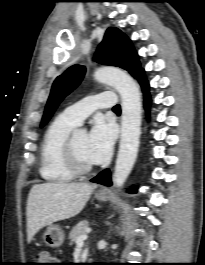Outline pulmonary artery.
<instances>
[{
    "instance_id": "obj_1",
    "label": "pulmonary artery",
    "mask_w": 205,
    "mask_h": 265,
    "mask_svg": "<svg viewBox=\"0 0 205 265\" xmlns=\"http://www.w3.org/2000/svg\"><path fill=\"white\" fill-rule=\"evenodd\" d=\"M116 104V95L111 91H105L82 99L66 108L62 114L68 120L79 125L95 110L113 108Z\"/></svg>"
}]
</instances>
